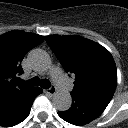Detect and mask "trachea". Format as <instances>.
Instances as JSON below:
<instances>
[{
    "label": "trachea",
    "mask_w": 128,
    "mask_h": 128,
    "mask_svg": "<svg viewBox=\"0 0 128 128\" xmlns=\"http://www.w3.org/2000/svg\"><path fill=\"white\" fill-rule=\"evenodd\" d=\"M27 84L31 86H39L43 89H49L51 87V83L47 79L40 80L39 77H33L32 79L27 81Z\"/></svg>",
    "instance_id": "1"
}]
</instances>
